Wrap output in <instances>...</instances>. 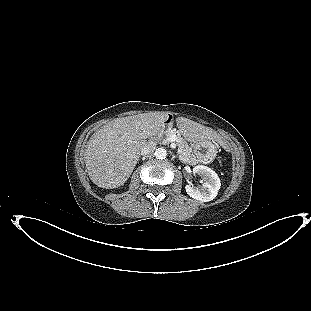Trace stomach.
I'll return each instance as SVG.
<instances>
[{
	"label": "stomach",
	"instance_id": "obj_1",
	"mask_svg": "<svg viewBox=\"0 0 311 311\" xmlns=\"http://www.w3.org/2000/svg\"><path fill=\"white\" fill-rule=\"evenodd\" d=\"M180 132L188 141L192 143L193 151L198 159H200L202 162L208 163L212 162L213 159H215L217 154V148L212 142H210L206 138H196L189 131L180 130Z\"/></svg>",
	"mask_w": 311,
	"mask_h": 311
}]
</instances>
